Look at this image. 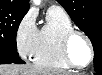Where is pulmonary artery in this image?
Segmentation results:
<instances>
[{
    "instance_id": "pulmonary-artery-1",
    "label": "pulmonary artery",
    "mask_w": 102,
    "mask_h": 75,
    "mask_svg": "<svg viewBox=\"0 0 102 75\" xmlns=\"http://www.w3.org/2000/svg\"><path fill=\"white\" fill-rule=\"evenodd\" d=\"M51 7H59L58 5H56V4H53V5H51ZM60 8V7H59Z\"/></svg>"
}]
</instances>
